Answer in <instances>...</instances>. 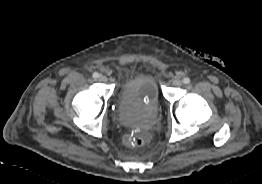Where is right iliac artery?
<instances>
[{
    "label": "right iliac artery",
    "instance_id": "right-iliac-artery-1",
    "mask_svg": "<svg viewBox=\"0 0 262 184\" xmlns=\"http://www.w3.org/2000/svg\"><path fill=\"white\" fill-rule=\"evenodd\" d=\"M99 77V73L98 72H94L93 73V78H98Z\"/></svg>",
    "mask_w": 262,
    "mask_h": 184
}]
</instances>
